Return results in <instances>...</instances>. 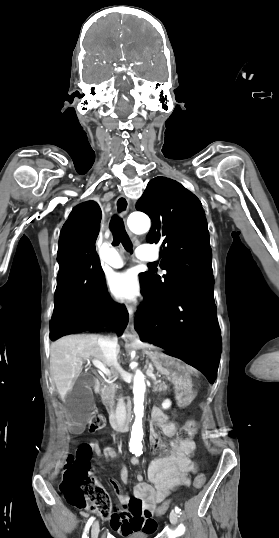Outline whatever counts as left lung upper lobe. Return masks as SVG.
I'll list each match as a JSON object with an SVG mask.
<instances>
[{
    "mask_svg": "<svg viewBox=\"0 0 279 538\" xmlns=\"http://www.w3.org/2000/svg\"><path fill=\"white\" fill-rule=\"evenodd\" d=\"M136 209L151 218L147 239L163 247L160 267L167 271L163 278L150 271L139 275L146 296L142 308L150 313L175 290L212 276V252L202 205L180 183L166 177L152 179Z\"/></svg>",
    "mask_w": 279,
    "mask_h": 538,
    "instance_id": "1",
    "label": "left lung upper lobe"
}]
</instances>
